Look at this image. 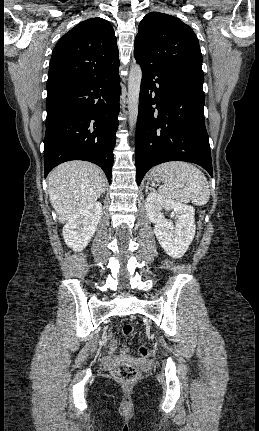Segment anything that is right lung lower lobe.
<instances>
[{"label":"right lung lower lobe","instance_id":"98d812e1","mask_svg":"<svg viewBox=\"0 0 259 431\" xmlns=\"http://www.w3.org/2000/svg\"><path fill=\"white\" fill-rule=\"evenodd\" d=\"M119 97L118 71L47 90L45 177L60 163L85 160L100 166L111 183Z\"/></svg>","mask_w":259,"mask_h":431}]
</instances>
